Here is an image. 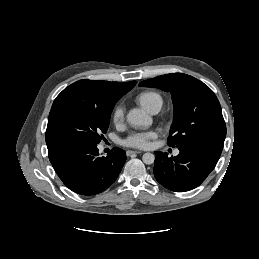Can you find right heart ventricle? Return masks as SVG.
I'll use <instances>...</instances> for the list:
<instances>
[{
  "instance_id": "1",
  "label": "right heart ventricle",
  "mask_w": 259,
  "mask_h": 259,
  "mask_svg": "<svg viewBox=\"0 0 259 259\" xmlns=\"http://www.w3.org/2000/svg\"><path fill=\"white\" fill-rule=\"evenodd\" d=\"M136 102L150 113L158 112L163 105V97L156 90H144L136 96Z\"/></svg>"
}]
</instances>
